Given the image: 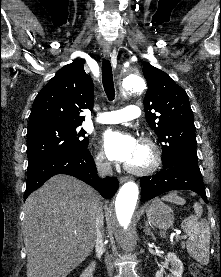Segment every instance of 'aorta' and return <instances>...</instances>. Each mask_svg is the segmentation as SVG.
I'll return each mask as SVG.
<instances>
[{"label": "aorta", "mask_w": 221, "mask_h": 277, "mask_svg": "<svg viewBox=\"0 0 221 277\" xmlns=\"http://www.w3.org/2000/svg\"><path fill=\"white\" fill-rule=\"evenodd\" d=\"M145 81L141 74L127 72L121 80V96L129 97L141 93ZM139 195L138 185L133 181L124 183L110 203V219L113 233L120 246L126 251L136 247L135 209Z\"/></svg>", "instance_id": "762f6f07"}]
</instances>
